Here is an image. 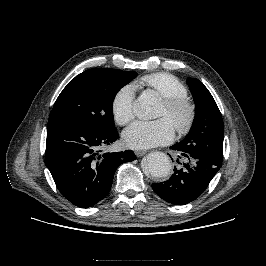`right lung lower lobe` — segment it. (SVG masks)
Listing matches in <instances>:
<instances>
[{
    "mask_svg": "<svg viewBox=\"0 0 266 266\" xmlns=\"http://www.w3.org/2000/svg\"><path fill=\"white\" fill-rule=\"evenodd\" d=\"M117 138L115 129L48 122L45 164L58 190L71 203L81 208L97 204L110 191L116 169L137 158L132 150L101 153L102 147Z\"/></svg>",
    "mask_w": 266,
    "mask_h": 266,
    "instance_id": "right-lung-lower-lobe-1",
    "label": "right lung lower lobe"
}]
</instances>
